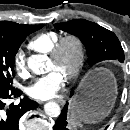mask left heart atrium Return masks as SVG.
<instances>
[{"instance_id": "39dd6f15", "label": "left heart atrium", "mask_w": 130, "mask_h": 130, "mask_svg": "<svg viewBox=\"0 0 130 130\" xmlns=\"http://www.w3.org/2000/svg\"><path fill=\"white\" fill-rule=\"evenodd\" d=\"M64 75L57 69H52L48 74L37 78L27 88L31 98L47 100L54 97L64 85Z\"/></svg>"}]
</instances>
